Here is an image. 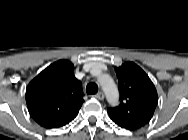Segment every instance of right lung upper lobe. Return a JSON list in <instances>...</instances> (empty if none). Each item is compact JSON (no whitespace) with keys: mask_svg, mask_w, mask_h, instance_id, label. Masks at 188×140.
<instances>
[{"mask_svg":"<svg viewBox=\"0 0 188 140\" xmlns=\"http://www.w3.org/2000/svg\"><path fill=\"white\" fill-rule=\"evenodd\" d=\"M26 102L30 115L42 127L58 128L72 121L84 102L73 64L59 60L43 70L29 83Z\"/></svg>","mask_w":188,"mask_h":140,"instance_id":"obj_1","label":"right lung upper lobe"}]
</instances>
